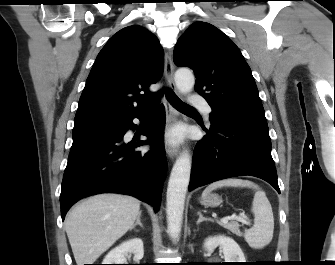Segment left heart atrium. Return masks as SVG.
<instances>
[{
    "label": "left heart atrium",
    "instance_id": "obj_1",
    "mask_svg": "<svg viewBox=\"0 0 335 265\" xmlns=\"http://www.w3.org/2000/svg\"><path fill=\"white\" fill-rule=\"evenodd\" d=\"M169 138L172 141H178L181 138V131L176 129L169 134Z\"/></svg>",
    "mask_w": 335,
    "mask_h": 265
}]
</instances>
